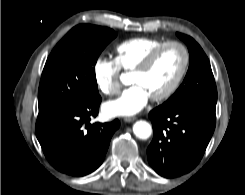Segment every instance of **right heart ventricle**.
<instances>
[{
  "label": "right heart ventricle",
  "mask_w": 245,
  "mask_h": 195,
  "mask_svg": "<svg viewBox=\"0 0 245 195\" xmlns=\"http://www.w3.org/2000/svg\"><path fill=\"white\" fill-rule=\"evenodd\" d=\"M164 43L152 38H132L118 44L115 48V61L120 69L133 71V69L157 46Z\"/></svg>",
  "instance_id": "right-heart-ventricle-1"
}]
</instances>
